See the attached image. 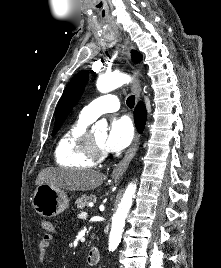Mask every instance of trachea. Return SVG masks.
Listing matches in <instances>:
<instances>
[{"instance_id": "trachea-1", "label": "trachea", "mask_w": 221, "mask_h": 268, "mask_svg": "<svg viewBox=\"0 0 221 268\" xmlns=\"http://www.w3.org/2000/svg\"><path fill=\"white\" fill-rule=\"evenodd\" d=\"M126 103H127V106L129 107V108H133L134 107V104H135V96H129L128 98H127V101H126Z\"/></svg>"}]
</instances>
